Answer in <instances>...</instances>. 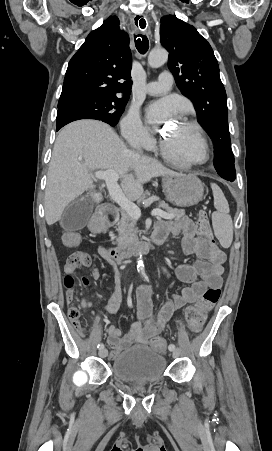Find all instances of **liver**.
Segmentation results:
<instances>
[{
    "label": "liver",
    "instance_id": "obj_1",
    "mask_svg": "<svg viewBox=\"0 0 272 451\" xmlns=\"http://www.w3.org/2000/svg\"><path fill=\"white\" fill-rule=\"evenodd\" d=\"M82 158L84 162H79ZM115 170L129 200L143 196V186L151 178L177 174L160 162L127 150L116 132L97 120H78L65 126L56 138L45 190V220L48 226L60 220L66 206L90 190L92 202H101L90 172Z\"/></svg>",
    "mask_w": 272,
    "mask_h": 451
}]
</instances>
